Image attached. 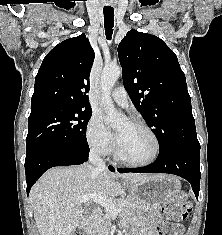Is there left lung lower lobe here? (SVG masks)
<instances>
[{
    "label": "left lung lower lobe",
    "instance_id": "0a47b994",
    "mask_svg": "<svg viewBox=\"0 0 222 235\" xmlns=\"http://www.w3.org/2000/svg\"><path fill=\"white\" fill-rule=\"evenodd\" d=\"M200 147L175 146L159 153L157 160L141 168L118 169V172L169 173L180 176L190 182L198 199L200 188Z\"/></svg>",
    "mask_w": 222,
    "mask_h": 235
}]
</instances>
